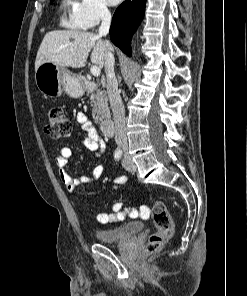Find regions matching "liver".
I'll use <instances>...</instances> for the list:
<instances>
[{
    "mask_svg": "<svg viewBox=\"0 0 247 296\" xmlns=\"http://www.w3.org/2000/svg\"><path fill=\"white\" fill-rule=\"evenodd\" d=\"M91 50L92 63L102 68L107 47L101 36L75 30L50 31L38 49L35 70L45 62L62 67H84Z\"/></svg>",
    "mask_w": 247,
    "mask_h": 296,
    "instance_id": "6515ba94",
    "label": "liver"
}]
</instances>
